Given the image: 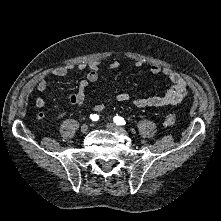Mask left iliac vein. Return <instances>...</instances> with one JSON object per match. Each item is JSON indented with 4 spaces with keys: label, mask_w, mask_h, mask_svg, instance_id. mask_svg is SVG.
Segmentation results:
<instances>
[{
    "label": "left iliac vein",
    "mask_w": 221,
    "mask_h": 221,
    "mask_svg": "<svg viewBox=\"0 0 221 221\" xmlns=\"http://www.w3.org/2000/svg\"><path fill=\"white\" fill-rule=\"evenodd\" d=\"M106 128L110 131H117V132H120L123 134L126 133V130L124 128H122L121 126L114 124V123H107Z\"/></svg>",
    "instance_id": "1"
}]
</instances>
